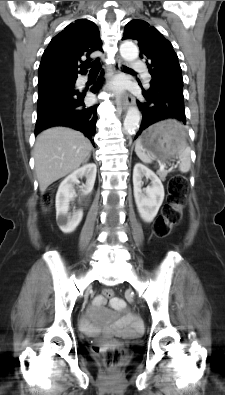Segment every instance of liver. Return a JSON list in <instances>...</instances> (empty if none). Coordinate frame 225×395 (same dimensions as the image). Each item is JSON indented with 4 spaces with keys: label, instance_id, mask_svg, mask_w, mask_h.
<instances>
[{
    "label": "liver",
    "instance_id": "obj_1",
    "mask_svg": "<svg viewBox=\"0 0 225 395\" xmlns=\"http://www.w3.org/2000/svg\"><path fill=\"white\" fill-rule=\"evenodd\" d=\"M92 144L83 133L53 127L40 133L34 146L35 171L41 193L86 162Z\"/></svg>",
    "mask_w": 225,
    "mask_h": 395
}]
</instances>
